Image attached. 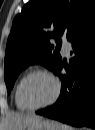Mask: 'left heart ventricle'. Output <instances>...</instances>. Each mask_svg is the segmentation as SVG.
I'll return each mask as SVG.
<instances>
[{
	"instance_id": "left-heart-ventricle-1",
	"label": "left heart ventricle",
	"mask_w": 95,
	"mask_h": 130,
	"mask_svg": "<svg viewBox=\"0 0 95 130\" xmlns=\"http://www.w3.org/2000/svg\"><path fill=\"white\" fill-rule=\"evenodd\" d=\"M55 91L53 81L45 75L30 77L23 86L24 100L31 106H38L49 101Z\"/></svg>"
}]
</instances>
